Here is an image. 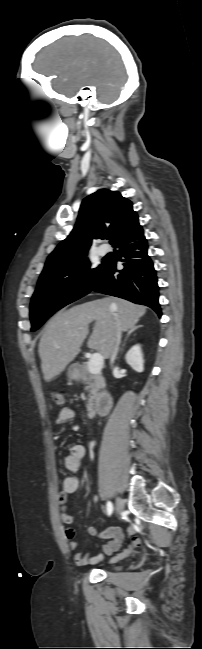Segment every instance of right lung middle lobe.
<instances>
[{"label":"right lung middle lobe","instance_id":"obj_1","mask_svg":"<svg viewBox=\"0 0 202 649\" xmlns=\"http://www.w3.org/2000/svg\"><path fill=\"white\" fill-rule=\"evenodd\" d=\"M84 256L71 270L39 278L30 304L31 331L37 330L57 310L89 292L103 262L89 269L90 262Z\"/></svg>","mask_w":202,"mask_h":649}]
</instances>
